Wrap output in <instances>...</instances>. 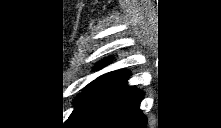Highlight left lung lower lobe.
Returning <instances> with one entry per match:
<instances>
[{"mask_svg":"<svg viewBox=\"0 0 221 128\" xmlns=\"http://www.w3.org/2000/svg\"><path fill=\"white\" fill-rule=\"evenodd\" d=\"M129 75L94 104L66 122L65 127L146 128L147 118L139 109L143 92L127 85Z\"/></svg>","mask_w":221,"mask_h":128,"instance_id":"0a47b994","label":"left lung lower lobe"}]
</instances>
